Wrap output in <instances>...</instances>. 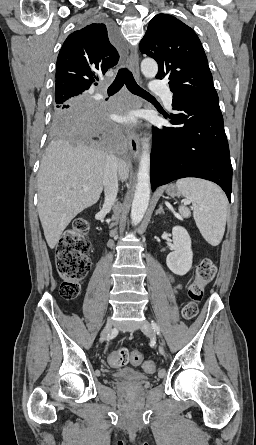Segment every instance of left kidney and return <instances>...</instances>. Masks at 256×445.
I'll list each match as a JSON object with an SVG mask.
<instances>
[{"mask_svg":"<svg viewBox=\"0 0 256 445\" xmlns=\"http://www.w3.org/2000/svg\"><path fill=\"white\" fill-rule=\"evenodd\" d=\"M174 251L168 254L166 263L168 268L176 275L183 276L192 267L193 252L191 238L184 227L175 226L172 229Z\"/></svg>","mask_w":256,"mask_h":445,"instance_id":"1","label":"left kidney"}]
</instances>
